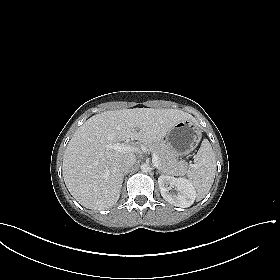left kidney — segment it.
<instances>
[{
  "instance_id": "1",
  "label": "left kidney",
  "mask_w": 280,
  "mask_h": 280,
  "mask_svg": "<svg viewBox=\"0 0 280 280\" xmlns=\"http://www.w3.org/2000/svg\"><path fill=\"white\" fill-rule=\"evenodd\" d=\"M158 184L162 197L174 206L190 207L196 198L193 185L185 178L161 175Z\"/></svg>"
}]
</instances>
